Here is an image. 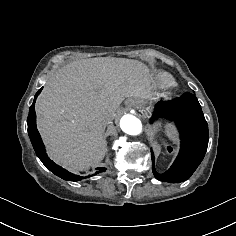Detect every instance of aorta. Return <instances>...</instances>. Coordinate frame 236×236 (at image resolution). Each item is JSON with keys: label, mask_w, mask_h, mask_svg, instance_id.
<instances>
[{"label": "aorta", "mask_w": 236, "mask_h": 236, "mask_svg": "<svg viewBox=\"0 0 236 236\" xmlns=\"http://www.w3.org/2000/svg\"><path fill=\"white\" fill-rule=\"evenodd\" d=\"M121 130L129 135H139L142 131L141 121L131 114H125L120 120Z\"/></svg>", "instance_id": "762f6f07"}]
</instances>
